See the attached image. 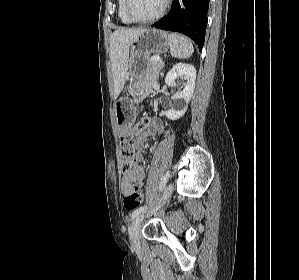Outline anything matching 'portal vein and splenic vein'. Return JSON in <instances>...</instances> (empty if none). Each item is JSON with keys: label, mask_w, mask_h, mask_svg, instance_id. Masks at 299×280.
<instances>
[{"label": "portal vein and splenic vein", "mask_w": 299, "mask_h": 280, "mask_svg": "<svg viewBox=\"0 0 299 280\" xmlns=\"http://www.w3.org/2000/svg\"><path fill=\"white\" fill-rule=\"evenodd\" d=\"M151 60L162 62V59L159 56H154Z\"/></svg>", "instance_id": "obj_1"}]
</instances>
